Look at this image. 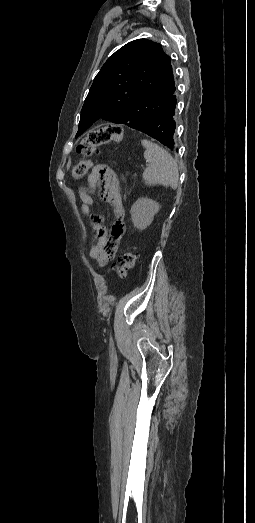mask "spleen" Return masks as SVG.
<instances>
[{"mask_svg":"<svg viewBox=\"0 0 255 523\" xmlns=\"http://www.w3.org/2000/svg\"><path fill=\"white\" fill-rule=\"evenodd\" d=\"M141 144L146 148L144 158L149 164L142 174L145 184L147 186L163 184V186H171L175 190L179 182V172L174 158L166 150L149 140H142Z\"/></svg>","mask_w":255,"mask_h":523,"instance_id":"1","label":"spleen"}]
</instances>
